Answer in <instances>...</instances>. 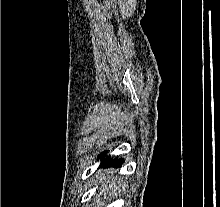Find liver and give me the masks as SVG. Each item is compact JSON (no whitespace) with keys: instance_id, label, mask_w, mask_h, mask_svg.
Instances as JSON below:
<instances>
[{"instance_id":"obj_1","label":"liver","mask_w":220,"mask_h":207,"mask_svg":"<svg viewBox=\"0 0 220 207\" xmlns=\"http://www.w3.org/2000/svg\"><path fill=\"white\" fill-rule=\"evenodd\" d=\"M108 178V177H107ZM102 181V178L100 179ZM103 180H106V177L103 178ZM118 184L120 185V182H118ZM117 186V183H116V179L112 180V181H108L107 183H105L103 185V187L101 188V195H103L104 193H108L111 189H115Z\"/></svg>"}]
</instances>
